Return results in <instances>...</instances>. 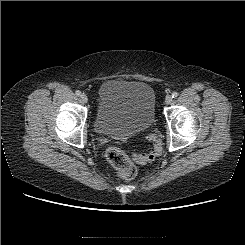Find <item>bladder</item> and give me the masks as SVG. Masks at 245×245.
Segmentation results:
<instances>
[{
    "instance_id": "bladder-1",
    "label": "bladder",
    "mask_w": 245,
    "mask_h": 245,
    "mask_svg": "<svg viewBox=\"0 0 245 245\" xmlns=\"http://www.w3.org/2000/svg\"><path fill=\"white\" fill-rule=\"evenodd\" d=\"M155 104V92L147 83L110 79L99 90L94 130L124 135L145 131L155 123Z\"/></svg>"
}]
</instances>
